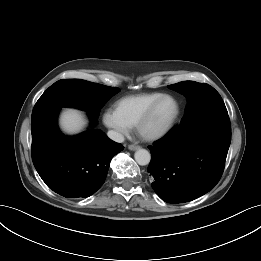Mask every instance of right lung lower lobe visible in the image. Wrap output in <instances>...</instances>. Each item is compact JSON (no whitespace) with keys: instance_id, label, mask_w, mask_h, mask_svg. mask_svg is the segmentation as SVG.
I'll use <instances>...</instances> for the list:
<instances>
[{"instance_id":"right-lung-lower-lobe-1","label":"right lung lower lobe","mask_w":261,"mask_h":261,"mask_svg":"<svg viewBox=\"0 0 261 261\" xmlns=\"http://www.w3.org/2000/svg\"><path fill=\"white\" fill-rule=\"evenodd\" d=\"M60 108L32 117V160L42 180L66 198L89 197L104 183L111 159L123 146L102 131L91 129L75 137L57 127ZM91 123L97 118L89 114Z\"/></svg>"}]
</instances>
